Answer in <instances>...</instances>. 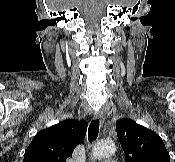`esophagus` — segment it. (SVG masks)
<instances>
[{
	"label": "esophagus",
	"mask_w": 175,
	"mask_h": 162,
	"mask_svg": "<svg viewBox=\"0 0 175 162\" xmlns=\"http://www.w3.org/2000/svg\"><path fill=\"white\" fill-rule=\"evenodd\" d=\"M95 119H98L100 121V124L103 125L105 117L102 111H97L94 113Z\"/></svg>",
	"instance_id": "obj_1"
}]
</instances>
